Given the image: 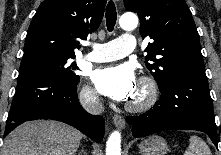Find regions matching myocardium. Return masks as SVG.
<instances>
[{"label":"myocardium","instance_id":"f54148a6","mask_svg":"<svg viewBox=\"0 0 221 155\" xmlns=\"http://www.w3.org/2000/svg\"><path fill=\"white\" fill-rule=\"evenodd\" d=\"M142 91L141 97L136 101L126 104L127 110L131 112H143L151 108L158 98V87L155 80L149 76H143L139 81Z\"/></svg>","mask_w":221,"mask_h":155}]
</instances>
